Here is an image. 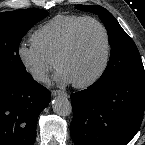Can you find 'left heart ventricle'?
Segmentation results:
<instances>
[{"mask_svg":"<svg viewBox=\"0 0 145 145\" xmlns=\"http://www.w3.org/2000/svg\"><path fill=\"white\" fill-rule=\"evenodd\" d=\"M105 50L102 30L96 24L86 22L78 29L75 45L71 53L60 63L59 70L71 83L86 81L101 67Z\"/></svg>","mask_w":145,"mask_h":145,"instance_id":"b2bd125f","label":"left heart ventricle"}]
</instances>
